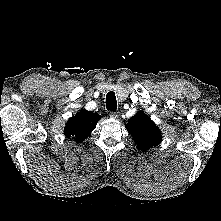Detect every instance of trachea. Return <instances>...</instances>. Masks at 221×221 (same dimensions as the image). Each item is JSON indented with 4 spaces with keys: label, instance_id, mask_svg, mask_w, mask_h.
Returning <instances> with one entry per match:
<instances>
[{
    "label": "trachea",
    "instance_id": "trachea-1",
    "mask_svg": "<svg viewBox=\"0 0 221 221\" xmlns=\"http://www.w3.org/2000/svg\"><path fill=\"white\" fill-rule=\"evenodd\" d=\"M106 108L110 111H116L117 109V101L115 93L110 91L106 95Z\"/></svg>",
    "mask_w": 221,
    "mask_h": 221
}]
</instances>
